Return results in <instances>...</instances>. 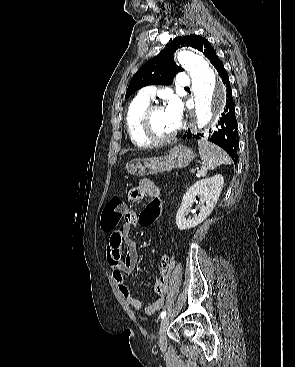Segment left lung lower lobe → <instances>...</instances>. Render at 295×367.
<instances>
[{"mask_svg":"<svg viewBox=\"0 0 295 367\" xmlns=\"http://www.w3.org/2000/svg\"><path fill=\"white\" fill-rule=\"evenodd\" d=\"M213 66L219 73L223 84L226 86V104L221 114V118L218 121L217 129L209 131V141L217 144L223 148L233 159L234 163H237V148H238V134H237V122L235 118V108L232 98L231 86L229 84L228 74L224 69L223 63L216 58ZM204 133L193 134L190 130L186 131L183 138H201L206 136Z\"/></svg>","mask_w":295,"mask_h":367,"instance_id":"left-lung-lower-lobe-1","label":"left lung lower lobe"}]
</instances>
